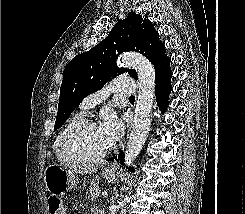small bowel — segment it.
Returning <instances> with one entry per match:
<instances>
[{"mask_svg": "<svg viewBox=\"0 0 245 214\" xmlns=\"http://www.w3.org/2000/svg\"><path fill=\"white\" fill-rule=\"evenodd\" d=\"M92 214H103V212L100 209L94 208Z\"/></svg>", "mask_w": 245, "mask_h": 214, "instance_id": "1", "label": "small bowel"}]
</instances>
